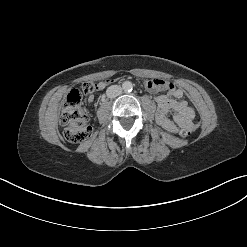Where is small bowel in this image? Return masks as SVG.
Masks as SVG:
<instances>
[{"label": "small bowel", "instance_id": "c3829d8e", "mask_svg": "<svg viewBox=\"0 0 247 247\" xmlns=\"http://www.w3.org/2000/svg\"><path fill=\"white\" fill-rule=\"evenodd\" d=\"M111 83L109 79L98 83L97 88L103 89ZM144 87L150 92L165 91L155 97L157 103L156 120L158 124L170 133H176L179 128L193 129L195 112L187 101L182 100L184 92L173 83L162 79H149L143 82ZM88 101L94 100L93 95L88 96ZM170 111H174L172 119L167 117Z\"/></svg>", "mask_w": 247, "mask_h": 247}]
</instances>
